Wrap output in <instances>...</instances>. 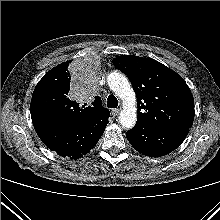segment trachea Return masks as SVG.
Returning <instances> with one entry per match:
<instances>
[{"instance_id": "obj_1", "label": "trachea", "mask_w": 220, "mask_h": 220, "mask_svg": "<svg viewBox=\"0 0 220 220\" xmlns=\"http://www.w3.org/2000/svg\"><path fill=\"white\" fill-rule=\"evenodd\" d=\"M107 106L109 108H117L118 100L114 95H109L107 99Z\"/></svg>"}]
</instances>
